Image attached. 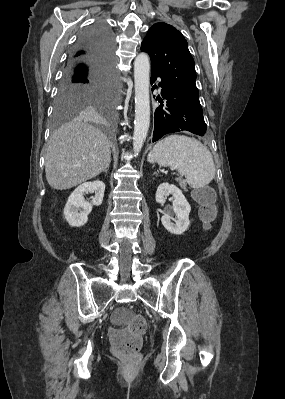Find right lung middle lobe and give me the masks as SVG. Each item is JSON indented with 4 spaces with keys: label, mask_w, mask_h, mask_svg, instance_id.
<instances>
[{
    "label": "right lung middle lobe",
    "mask_w": 285,
    "mask_h": 399,
    "mask_svg": "<svg viewBox=\"0 0 285 399\" xmlns=\"http://www.w3.org/2000/svg\"><path fill=\"white\" fill-rule=\"evenodd\" d=\"M114 96V83L88 85L63 78L55 101V123L59 124L79 111L110 119Z\"/></svg>",
    "instance_id": "1"
}]
</instances>
